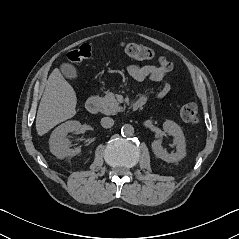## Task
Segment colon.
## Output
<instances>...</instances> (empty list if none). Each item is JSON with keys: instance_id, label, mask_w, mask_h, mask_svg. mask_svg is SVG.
Returning <instances> with one entry per match:
<instances>
[{"instance_id": "obj_1", "label": "colon", "mask_w": 239, "mask_h": 239, "mask_svg": "<svg viewBox=\"0 0 239 239\" xmlns=\"http://www.w3.org/2000/svg\"><path fill=\"white\" fill-rule=\"evenodd\" d=\"M123 48L129 56L139 60H150L154 57L153 50L145 45L129 42L124 43ZM92 54V47L89 44H82L71 50L67 54V59L72 64H81L84 61L91 59ZM160 65L165 72H169L172 69V64L164 58L160 59ZM177 109L183 121L190 124L198 123V109L194 103H181L178 105Z\"/></svg>"}]
</instances>
